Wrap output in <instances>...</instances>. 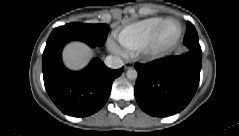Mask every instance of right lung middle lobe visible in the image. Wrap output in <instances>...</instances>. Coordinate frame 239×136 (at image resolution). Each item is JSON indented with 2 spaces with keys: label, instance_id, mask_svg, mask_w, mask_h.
<instances>
[{
  "label": "right lung middle lobe",
  "instance_id": "dd1d6c3e",
  "mask_svg": "<svg viewBox=\"0 0 239 136\" xmlns=\"http://www.w3.org/2000/svg\"><path fill=\"white\" fill-rule=\"evenodd\" d=\"M55 31H60L64 36L71 39H79L86 42H91L102 46L107 38L108 29L106 24H86V23H69L65 26L55 28L50 36ZM49 36V37H50Z\"/></svg>",
  "mask_w": 239,
  "mask_h": 136
}]
</instances>
